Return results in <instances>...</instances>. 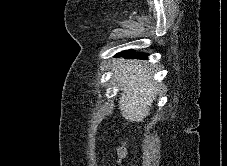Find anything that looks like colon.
<instances>
[{"label": "colon", "mask_w": 227, "mask_h": 166, "mask_svg": "<svg viewBox=\"0 0 227 166\" xmlns=\"http://www.w3.org/2000/svg\"><path fill=\"white\" fill-rule=\"evenodd\" d=\"M118 155H119V158H120V163H123L125 155H126V151H125L124 147H120L118 149Z\"/></svg>", "instance_id": "5ec220e1"}]
</instances>
